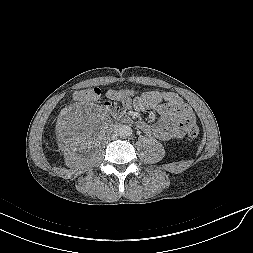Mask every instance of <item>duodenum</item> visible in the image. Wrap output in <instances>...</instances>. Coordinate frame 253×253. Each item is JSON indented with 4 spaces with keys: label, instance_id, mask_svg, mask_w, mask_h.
<instances>
[{
    "label": "duodenum",
    "instance_id": "duodenum-1",
    "mask_svg": "<svg viewBox=\"0 0 253 253\" xmlns=\"http://www.w3.org/2000/svg\"><path fill=\"white\" fill-rule=\"evenodd\" d=\"M115 116L117 119H119L123 123H131L132 122V119L124 113H116Z\"/></svg>",
    "mask_w": 253,
    "mask_h": 253
}]
</instances>
